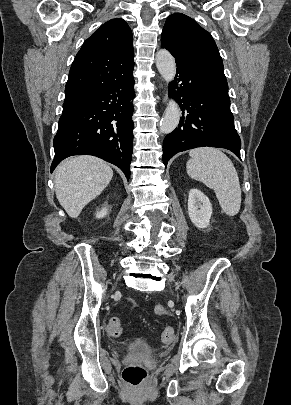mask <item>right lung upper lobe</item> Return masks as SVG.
Returning a JSON list of instances; mask_svg holds the SVG:
<instances>
[{
  "label": "right lung upper lobe",
  "mask_w": 291,
  "mask_h": 405,
  "mask_svg": "<svg viewBox=\"0 0 291 405\" xmlns=\"http://www.w3.org/2000/svg\"><path fill=\"white\" fill-rule=\"evenodd\" d=\"M132 32L123 19H111L82 45L70 68L64 104L126 79L134 68Z\"/></svg>",
  "instance_id": "1"
}]
</instances>
